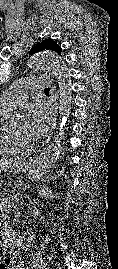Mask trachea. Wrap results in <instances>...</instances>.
<instances>
[{
  "instance_id": "3493384b",
  "label": "trachea",
  "mask_w": 118,
  "mask_h": 269,
  "mask_svg": "<svg viewBox=\"0 0 118 269\" xmlns=\"http://www.w3.org/2000/svg\"><path fill=\"white\" fill-rule=\"evenodd\" d=\"M49 91H50L49 88H45V89H44V92H45V93H49Z\"/></svg>"
}]
</instances>
